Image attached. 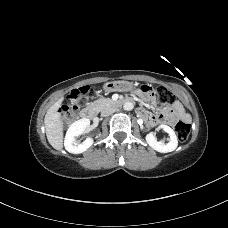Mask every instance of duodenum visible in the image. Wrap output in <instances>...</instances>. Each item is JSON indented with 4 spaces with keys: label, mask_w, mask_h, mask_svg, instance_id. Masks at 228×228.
<instances>
[{
    "label": "duodenum",
    "mask_w": 228,
    "mask_h": 228,
    "mask_svg": "<svg viewBox=\"0 0 228 228\" xmlns=\"http://www.w3.org/2000/svg\"><path fill=\"white\" fill-rule=\"evenodd\" d=\"M131 102H132L131 99L126 98V99L115 100V101H113V104L115 106H122L124 104H128ZM95 116H96L95 111L92 108H85L80 113V117L84 120H93L95 118Z\"/></svg>",
    "instance_id": "obj_1"
}]
</instances>
